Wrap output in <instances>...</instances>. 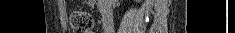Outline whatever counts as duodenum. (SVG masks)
<instances>
[{"label": "duodenum", "mask_w": 235, "mask_h": 33, "mask_svg": "<svg viewBox=\"0 0 235 33\" xmlns=\"http://www.w3.org/2000/svg\"><path fill=\"white\" fill-rule=\"evenodd\" d=\"M110 27H111V22L106 21V22L104 23V29H105V32H106V33L109 32Z\"/></svg>", "instance_id": "410a0bca"}]
</instances>
